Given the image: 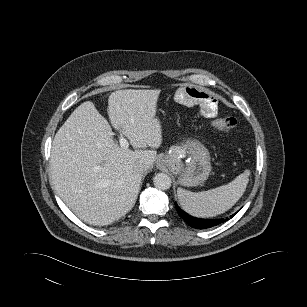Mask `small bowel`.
Wrapping results in <instances>:
<instances>
[{"instance_id": "obj_1", "label": "small bowel", "mask_w": 307, "mask_h": 307, "mask_svg": "<svg viewBox=\"0 0 307 307\" xmlns=\"http://www.w3.org/2000/svg\"><path fill=\"white\" fill-rule=\"evenodd\" d=\"M176 99L184 105H200V114L204 117H214L217 114L216 101L206 92L196 88H182L176 94Z\"/></svg>"}]
</instances>
